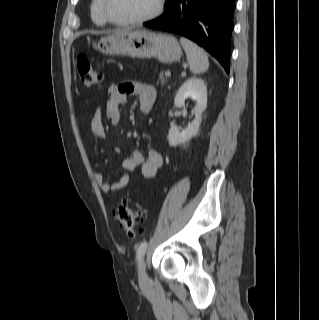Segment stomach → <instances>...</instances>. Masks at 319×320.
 Returning <instances> with one entry per match:
<instances>
[{
	"mask_svg": "<svg viewBox=\"0 0 319 320\" xmlns=\"http://www.w3.org/2000/svg\"><path fill=\"white\" fill-rule=\"evenodd\" d=\"M96 49L105 55L155 57L162 63L177 62L182 57L180 44L174 36L141 29L125 30L102 37L96 44Z\"/></svg>",
	"mask_w": 319,
	"mask_h": 320,
	"instance_id": "stomach-1",
	"label": "stomach"
}]
</instances>
